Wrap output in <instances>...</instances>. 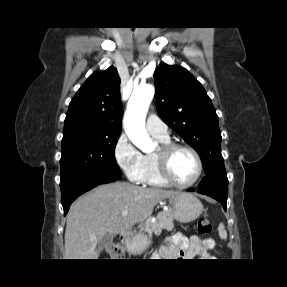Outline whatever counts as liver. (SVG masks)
Here are the masks:
<instances>
[{"mask_svg": "<svg viewBox=\"0 0 287 287\" xmlns=\"http://www.w3.org/2000/svg\"><path fill=\"white\" fill-rule=\"evenodd\" d=\"M178 192L125 182L104 184L77 199L67 214L65 259H98L106 234H122L148 218L158 202ZM128 210L127 216L121 213Z\"/></svg>", "mask_w": 287, "mask_h": 287, "instance_id": "obj_1", "label": "liver"}]
</instances>
